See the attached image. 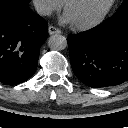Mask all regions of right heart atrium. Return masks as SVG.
Returning <instances> with one entry per match:
<instances>
[{"instance_id":"obj_1","label":"right heart atrium","mask_w":128,"mask_h":128,"mask_svg":"<svg viewBox=\"0 0 128 128\" xmlns=\"http://www.w3.org/2000/svg\"><path fill=\"white\" fill-rule=\"evenodd\" d=\"M38 12L44 16H50L59 11L63 2L61 0H33Z\"/></svg>"}]
</instances>
